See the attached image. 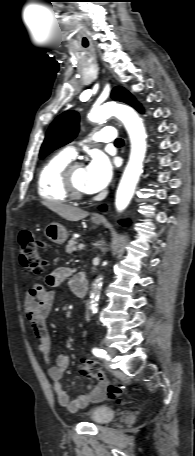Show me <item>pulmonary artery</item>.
<instances>
[{"mask_svg": "<svg viewBox=\"0 0 195 456\" xmlns=\"http://www.w3.org/2000/svg\"><path fill=\"white\" fill-rule=\"evenodd\" d=\"M92 139L96 142H112L116 139V131L113 127H106L95 132ZM64 152L71 158H74L76 155V150L73 146H68Z\"/></svg>", "mask_w": 195, "mask_h": 456, "instance_id": "e3ab8cb5", "label": "pulmonary artery"}]
</instances>
